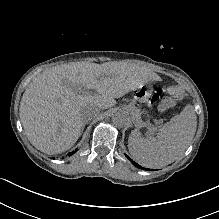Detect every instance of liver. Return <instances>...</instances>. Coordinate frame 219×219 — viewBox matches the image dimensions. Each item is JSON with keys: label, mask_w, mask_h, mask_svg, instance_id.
Segmentation results:
<instances>
[{"label": "liver", "mask_w": 219, "mask_h": 219, "mask_svg": "<svg viewBox=\"0 0 219 219\" xmlns=\"http://www.w3.org/2000/svg\"><path fill=\"white\" fill-rule=\"evenodd\" d=\"M150 73L143 67L116 62H73L45 69L25 90L19 108L20 120L30 143L54 155L70 149L80 137L86 120L100 110L116 105L120 98L146 82ZM77 87L96 90L80 95Z\"/></svg>", "instance_id": "liver-1"}]
</instances>
